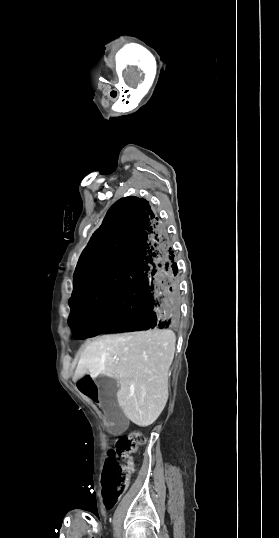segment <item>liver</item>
I'll use <instances>...</instances> for the list:
<instances>
[{
  "label": "liver",
  "instance_id": "obj_1",
  "mask_svg": "<svg viewBox=\"0 0 279 538\" xmlns=\"http://www.w3.org/2000/svg\"><path fill=\"white\" fill-rule=\"evenodd\" d=\"M172 330L101 336L85 348L75 378L100 374L118 380V404L137 426H151L168 400V372L175 352Z\"/></svg>",
  "mask_w": 279,
  "mask_h": 538
}]
</instances>
